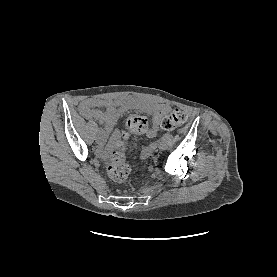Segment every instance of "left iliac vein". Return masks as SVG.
<instances>
[{"label":"left iliac vein","instance_id":"4c4485c4","mask_svg":"<svg viewBox=\"0 0 277 277\" xmlns=\"http://www.w3.org/2000/svg\"><path fill=\"white\" fill-rule=\"evenodd\" d=\"M167 148V144L165 143V142H160L159 144H158V149L160 150V151H163V150H165Z\"/></svg>","mask_w":277,"mask_h":277}]
</instances>
